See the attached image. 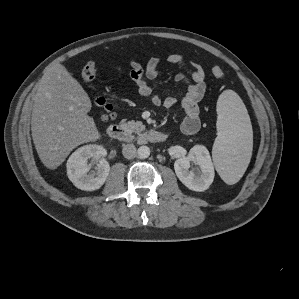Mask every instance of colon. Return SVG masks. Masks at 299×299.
<instances>
[{
    "label": "colon",
    "instance_id": "colon-1",
    "mask_svg": "<svg viewBox=\"0 0 299 299\" xmlns=\"http://www.w3.org/2000/svg\"><path fill=\"white\" fill-rule=\"evenodd\" d=\"M212 75L215 78H223L224 77V71L221 67L219 66H214L212 68ZM97 73V66L96 63L93 61L88 62L81 70V78L84 82H90L92 81ZM95 104L101 111V118L103 121H108L114 118L115 112L113 107L108 104V102L102 98V97H97L95 99Z\"/></svg>",
    "mask_w": 299,
    "mask_h": 299
}]
</instances>
